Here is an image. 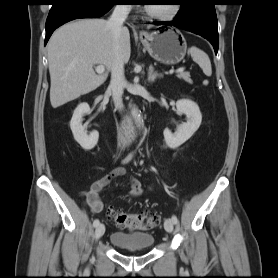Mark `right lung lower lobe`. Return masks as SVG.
Instances as JSON below:
<instances>
[{
	"label": "right lung lower lobe",
	"instance_id": "right-lung-lower-lobe-1",
	"mask_svg": "<svg viewBox=\"0 0 278 278\" xmlns=\"http://www.w3.org/2000/svg\"><path fill=\"white\" fill-rule=\"evenodd\" d=\"M119 1L59 0L52 4L46 21L45 45L53 31L62 24L79 18H97L108 12Z\"/></svg>",
	"mask_w": 278,
	"mask_h": 278
}]
</instances>
